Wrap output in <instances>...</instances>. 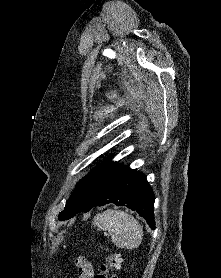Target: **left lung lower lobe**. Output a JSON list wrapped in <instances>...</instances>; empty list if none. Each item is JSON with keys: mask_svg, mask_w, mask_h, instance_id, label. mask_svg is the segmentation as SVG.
<instances>
[{"mask_svg": "<svg viewBox=\"0 0 221 278\" xmlns=\"http://www.w3.org/2000/svg\"><path fill=\"white\" fill-rule=\"evenodd\" d=\"M154 200V193L143 173L111 161L93 177L65 220L93 207L114 203L136 211L154 229Z\"/></svg>", "mask_w": 221, "mask_h": 278, "instance_id": "left-lung-lower-lobe-1", "label": "left lung lower lobe"}]
</instances>
